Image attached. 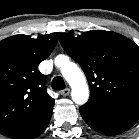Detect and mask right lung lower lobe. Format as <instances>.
I'll use <instances>...</instances> for the list:
<instances>
[{"label":"right lung lower lobe","instance_id":"98d812e1","mask_svg":"<svg viewBox=\"0 0 139 139\" xmlns=\"http://www.w3.org/2000/svg\"><path fill=\"white\" fill-rule=\"evenodd\" d=\"M53 112V107L48 109L45 113L39 116L36 120L29 124L12 131L6 136L12 139H33L39 136L47 127L50 122Z\"/></svg>","mask_w":139,"mask_h":139}]
</instances>
